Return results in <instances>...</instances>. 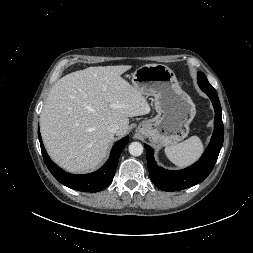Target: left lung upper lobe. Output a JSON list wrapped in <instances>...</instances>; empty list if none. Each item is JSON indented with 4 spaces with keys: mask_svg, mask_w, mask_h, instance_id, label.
Masks as SVG:
<instances>
[{
    "mask_svg": "<svg viewBox=\"0 0 253 253\" xmlns=\"http://www.w3.org/2000/svg\"><path fill=\"white\" fill-rule=\"evenodd\" d=\"M198 84L201 87H207V88H211L212 86L210 85V83L208 82L206 76L202 73V72H198Z\"/></svg>",
    "mask_w": 253,
    "mask_h": 253,
    "instance_id": "left-lung-upper-lobe-1",
    "label": "left lung upper lobe"
}]
</instances>
